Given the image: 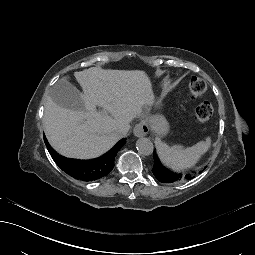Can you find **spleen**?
Listing matches in <instances>:
<instances>
[{
	"mask_svg": "<svg viewBox=\"0 0 255 255\" xmlns=\"http://www.w3.org/2000/svg\"><path fill=\"white\" fill-rule=\"evenodd\" d=\"M157 154L161 162L176 172L193 167L200 157L205 154L211 146V138L200 141L195 145L182 149L180 146H168L159 138L155 141Z\"/></svg>",
	"mask_w": 255,
	"mask_h": 255,
	"instance_id": "obj_1",
	"label": "spleen"
}]
</instances>
